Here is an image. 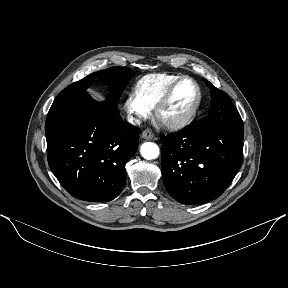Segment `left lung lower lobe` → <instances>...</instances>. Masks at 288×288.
<instances>
[{"label":"left lung lower lobe","mask_w":288,"mask_h":288,"mask_svg":"<svg viewBox=\"0 0 288 288\" xmlns=\"http://www.w3.org/2000/svg\"><path fill=\"white\" fill-rule=\"evenodd\" d=\"M161 168L166 190L178 202L199 204L219 197L243 160V136L231 130L191 123L161 135Z\"/></svg>","instance_id":"left-lung-lower-lobe-1"}]
</instances>
